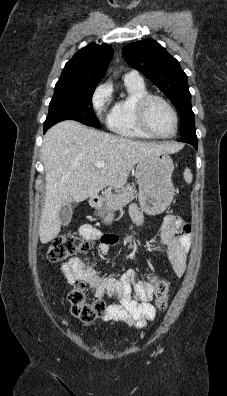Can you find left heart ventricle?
I'll list each match as a JSON object with an SVG mask.
<instances>
[{
	"label": "left heart ventricle",
	"instance_id": "1",
	"mask_svg": "<svg viewBox=\"0 0 227 396\" xmlns=\"http://www.w3.org/2000/svg\"><path fill=\"white\" fill-rule=\"evenodd\" d=\"M150 127L160 135H170L174 132L175 123L170 110L161 101L153 100L147 111Z\"/></svg>",
	"mask_w": 227,
	"mask_h": 396
}]
</instances>
